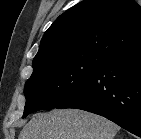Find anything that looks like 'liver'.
I'll list each match as a JSON object with an SVG mask.
<instances>
[{
    "label": "liver",
    "mask_w": 141,
    "mask_h": 139,
    "mask_svg": "<svg viewBox=\"0 0 141 139\" xmlns=\"http://www.w3.org/2000/svg\"><path fill=\"white\" fill-rule=\"evenodd\" d=\"M112 121L79 109L37 113L20 131L18 139H114L119 131Z\"/></svg>",
    "instance_id": "1"
}]
</instances>
